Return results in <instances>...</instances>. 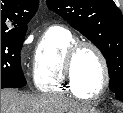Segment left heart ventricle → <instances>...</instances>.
Listing matches in <instances>:
<instances>
[{
  "mask_svg": "<svg viewBox=\"0 0 123 113\" xmlns=\"http://www.w3.org/2000/svg\"><path fill=\"white\" fill-rule=\"evenodd\" d=\"M74 76L82 94H94L103 84V68L97 54L88 48L83 49L74 63Z\"/></svg>",
  "mask_w": 123,
  "mask_h": 113,
  "instance_id": "1",
  "label": "left heart ventricle"
}]
</instances>
